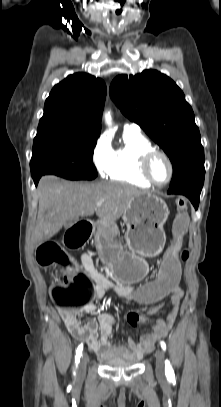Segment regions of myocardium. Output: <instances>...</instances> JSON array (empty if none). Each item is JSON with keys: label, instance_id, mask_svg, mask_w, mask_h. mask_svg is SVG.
<instances>
[{"label": "myocardium", "instance_id": "f54148a6", "mask_svg": "<svg viewBox=\"0 0 221 407\" xmlns=\"http://www.w3.org/2000/svg\"><path fill=\"white\" fill-rule=\"evenodd\" d=\"M162 156L166 159L168 165H169V177L166 181L164 182H157L151 175V171H150V165L151 162L153 160V158L155 156ZM174 164L173 161L171 159V157L163 150H159V149H151L149 151H147L141 158L140 160V172L142 174V176L151 184L157 187H162L165 186L167 184H169L171 182V180L173 179L174 176Z\"/></svg>", "mask_w": 221, "mask_h": 407}]
</instances>
